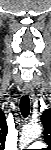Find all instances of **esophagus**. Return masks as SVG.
Masks as SVG:
<instances>
[{"label":"esophagus","instance_id":"1","mask_svg":"<svg viewBox=\"0 0 51 150\" xmlns=\"http://www.w3.org/2000/svg\"><path fill=\"white\" fill-rule=\"evenodd\" d=\"M22 90L23 94L28 95L31 99L33 98V89L31 85L29 84L24 85Z\"/></svg>","mask_w":51,"mask_h":150}]
</instances>
